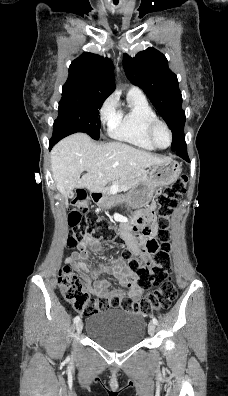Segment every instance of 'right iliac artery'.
Wrapping results in <instances>:
<instances>
[{"label": "right iliac artery", "instance_id": "82829eb1", "mask_svg": "<svg viewBox=\"0 0 228 396\" xmlns=\"http://www.w3.org/2000/svg\"><path fill=\"white\" fill-rule=\"evenodd\" d=\"M80 321V317L79 316H76L75 318H74V323H78Z\"/></svg>", "mask_w": 228, "mask_h": 396}]
</instances>
